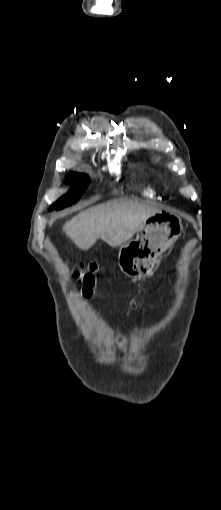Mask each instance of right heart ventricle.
I'll return each mask as SVG.
<instances>
[{"label":"right heart ventricle","instance_id":"obj_1","mask_svg":"<svg viewBox=\"0 0 221 510\" xmlns=\"http://www.w3.org/2000/svg\"><path fill=\"white\" fill-rule=\"evenodd\" d=\"M143 195L147 197H155L156 196V189L151 184H148L145 186L142 190Z\"/></svg>","mask_w":221,"mask_h":510}]
</instances>
